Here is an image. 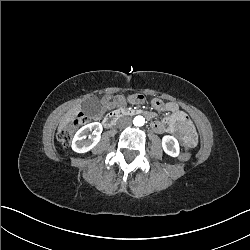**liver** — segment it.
<instances>
[{
  "instance_id": "liver-1",
  "label": "liver",
  "mask_w": 250,
  "mask_h": 250,
  "mask_svg": "<svg viewBox=\"0 0 250 250\" xmlns=\"http://www.w3.org/2000/svg\"><path fill=\"white\" fill-rule=\"evenodd\" d=\"M80 111V105H76L74 108L70 109L63 117L60 122V127L67 125Z\"/></svg>"
}]
</instances>
